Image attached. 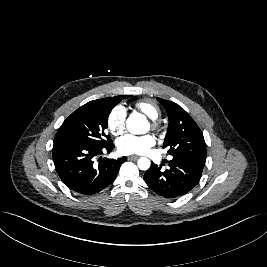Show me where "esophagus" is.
Returning a JSON list of instances; mask_svg holds the SVG:
<instances>
[{"label": "esophagus", "instance_id": "34e87169", "mask_svg": "<svg viewBox=\"0 0 267 267\" xmlns=\"http://www.w3.org/2000/svg\"><path fill=\"white\" fill-rule=\"evenodd\" d=\"M138 158H139V156H137V155L128 156L129 160H137Z\"/></svg>", "mask_w": 267, "mask_h": 267}]
</instances>
